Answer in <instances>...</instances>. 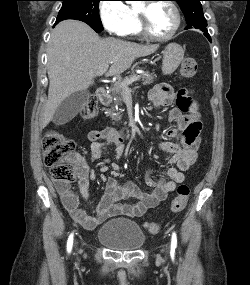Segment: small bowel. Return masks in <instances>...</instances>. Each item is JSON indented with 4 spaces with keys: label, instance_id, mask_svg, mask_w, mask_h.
Masks as SVG:
<instances>
[{
    "label": "small bowel",
    "instance_id": "c3829d8e",
    "mask_svg": "<svg viewBox=\"0 0 250 285\" xmlns=\"http://www.w3.org/2000/svg\"><path fill=\"white\" fill-rule=\"evenodd\" d=\"M184 93H175L168 84L155 85L148 93V99L159 108L170 106L174 101L176 106L169 112L168 119L175 121L177 126L167 130L170 138L179 142L164 141L159 147L171 155L167 175L170 180L154 179L149 174L146 184L149 192L142 191L132 181L119 184L114 177L107 176V160L103 159L105 146L113 143L114 158L119 159L125 152L124 134L114 127L100 130H91L87 134L90 142V154L93 161L103 164L100 179L105 182V192L96 209V216H90L80 207L79 197L73 192L68 183L57 182L56 189L61 201L71 217L82 227L88 230L96 228L103 221L115 216L138 218L150 208H154L165 200L167 194L176 189L177 185L185 181V171L195 162L199 146V132L201 124L193 120L185 111ZM74 166L78 178L79 194L83 200L89 197V182L91 173L85 160L74 153ZM134 198L133 204L122 203L126 198Z\"/></svg>",
    "mask_w": 250,
    "mask_h": 285
}]
</instances>
